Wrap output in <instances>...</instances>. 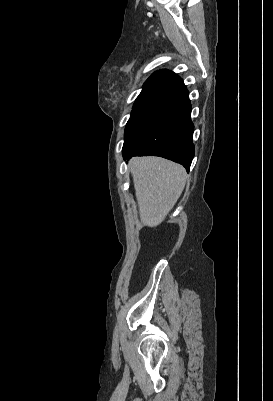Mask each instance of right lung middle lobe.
Wrapping results in <instances>:
<instances>
[{
	"label": "right lung middle lobe",
	"instance_id": "right-lung-middle-lobe-1",
	"mask_svg": "<svg viewBox=\"0 0 273 401\" xmlns=\"http://www.w3.org/2000/svg\"><path fill=\"white\" fill-rule=\"evenodd\" d=\"M169 97L156 95L138 96L136 99L124 134V143L127 142L134 132L157 110L164 106Z\"/></svg>",
	"mask_w": 273,
	"mask_h": 401
}]
</instances>
